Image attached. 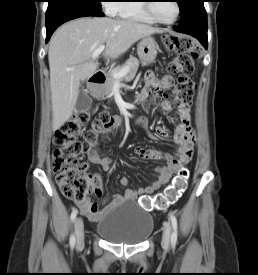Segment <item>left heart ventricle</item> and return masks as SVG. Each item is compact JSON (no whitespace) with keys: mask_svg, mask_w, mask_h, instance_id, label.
I'll return each instance as SVG.
<instances>
[{"mask_svg":"<svg viewBox=\"0 0 258 275\" xmlns=\"http://www.w3.org/2000/svg\"><path fill=\"white\" fill-rule=\"evenodd\" d=\"M155 15L163 21H171L176 16V6L174 1H156L153 4Z\"/></svg>","mask_w":258,"mask_h":275,"instance_id":"b2bd125f","label":"left heart ventricle"}]
</instances>
